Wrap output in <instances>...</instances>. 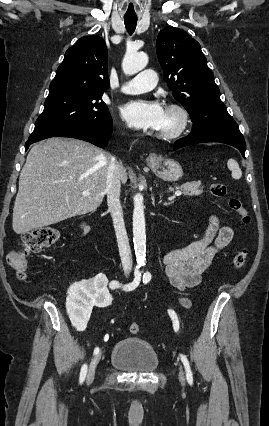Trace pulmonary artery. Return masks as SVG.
<instances>
[{
    "label": "pulmonary artery",
    "instance_id": "e3ab8cb5",
    "mask_svg": "<svg viewBox=\"0 0 269 426\" xmlns=\"http://www.w3.org/2000/svg\"><path fill=\"white\" fill-rule=\"evenodd\" d=\"M156 84V72L152 69H145L133 78L126 81L121 87V92L125 94L143 93L153 89Z\"/></svg>",
    "mask_w": 269,
    "mask_h": 426
}]
</instances>
